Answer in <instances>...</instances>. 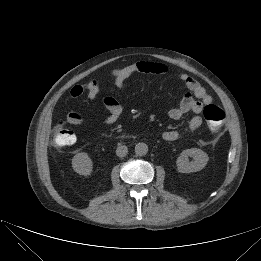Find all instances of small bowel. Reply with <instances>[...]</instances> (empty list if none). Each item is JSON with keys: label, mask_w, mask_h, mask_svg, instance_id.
I'll return each mask as SVG.
<instances>
[{"label": "small bowel", "mask_w": 261, "mask_h": 261, "mask_svg": "<svg viewBox=\"0 0 261 261\" xmlns=\"http://www.w3.org/2000/svg\"><path fill=\"white\" fill-rule=\"evenodd\" d=\"M167 71L168 67L162 63L139 61L112 70L109 74V77L114 80L116 87L122 88L125 85V82L134 74H165ZM179 79L184 83L188 92L185 94L177 107L171 108L168 111V115L173 120H179L184 115L192 113L193 116L188 122V128L193 131L202 125V118L200 114L203 110V107L212 102V97L206 91V89L192 76L183 73L179 75ZM100 90L101 86L99 81L94 79L85 84L74 85L70 89L69 94L71 98H79L83 94H87L88 100L90 102H94L98 97ZM102 103L109 113L103 119V123L106 125L114 124L122 113V106L115 98L111 96H105L102 99ZM66 120L68 123L73 125H84L91 121L76 111L68 112L66 115ZM162 137L165 141L173 142L179 138V132L177 130L170 129L165 131Z\"/></svg>", "instance_id": "c3829d8e"}]
</instances>
